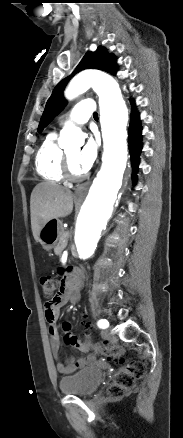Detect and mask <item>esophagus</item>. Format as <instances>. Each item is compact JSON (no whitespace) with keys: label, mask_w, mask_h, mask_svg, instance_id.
<instances>
[{"label":"esophagus","mask_w":183,"mask_h":438,"mask_svg":"<svg viewBox=\"0 0 183 438\" xmlns=\"http://www.w3.org/2000/svg\"><path fill=\"white\" fill-rule=\"evenodd\" d=\"M89 185H90V181H87V182H85V183L79 185V186L75 189V193H76V195H77V196H81V195L85 194L86 191H87V189H88V187H89Z\"/></svg>","instance_id":"34e87169"}]
</instances>
